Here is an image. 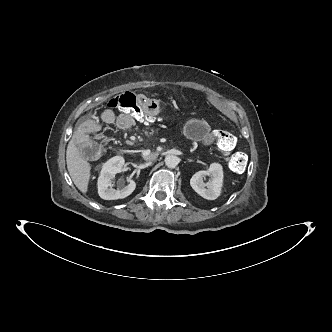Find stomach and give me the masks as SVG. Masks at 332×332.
<instances>
[{"label": "stomach", "instance_id": "obj_1", "mask_svg": "<svg viewBox=\"0 0 332 332\" xmlns=\"http://www.w3.org/2000/svg\"><path fill=\"white\" fill-rule=\"evenodd\" d=\"M183 132L186 137L192 140H209L212 142V138L209 134L208 124L199 119H190L186 122Z\"/></svg>", "mask_w": 332, "mask_h": 332}]
</instances>
